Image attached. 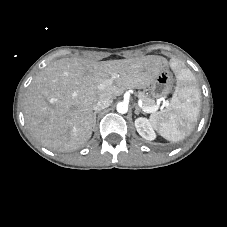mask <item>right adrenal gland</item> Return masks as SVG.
Masks as SVG:
<instances>
[{"mask_svg":"<svg viewBox=\"0 0 227 227\" xmlns=\"http://www.w3.org/2000/svg\"><path fill=\"white\" fill-rule=\"evenodd\" d=\"M98 113H99L98 111L94 112V125H95V123H96V115H97Z\"/></svg>","mask_w":227,"mask_h":227,"instance_id":"right-adrenal-gland-1","label":"right adrenal gland"}]
</instances>
